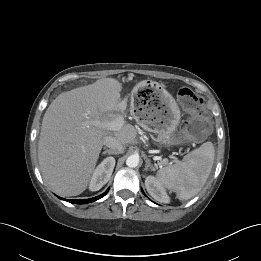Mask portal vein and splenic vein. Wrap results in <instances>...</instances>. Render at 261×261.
<instances>
[{
    "label": "portal vein and splenic vein",
    "mask_w": 261,
    "mask_h": 261,
    "mask_svg": "<svg viewBox=\"0 0 261 261\" xmlns=\"http://www.w3.org/2000/svg\"><path fill=\"white\" fill-rule=\"evenodd\" d=\"M119 109L121 111L124 110V106L122 103L119 104ZM124 125V120L122 118L107 122V123H103L100 124V126H102L103 128L109 130V131H119L122 126Z\"/></svg>",
    "instance_id": "portal-vein-and-splenic-vein-1"
}]
</instances>
